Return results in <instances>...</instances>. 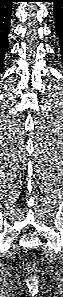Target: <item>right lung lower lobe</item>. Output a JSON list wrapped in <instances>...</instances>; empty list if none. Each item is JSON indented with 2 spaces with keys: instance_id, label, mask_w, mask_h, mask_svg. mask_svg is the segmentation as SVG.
Segmentation results:
<instances>
[{
  "instance_id": "obj_1",
  "label": "right lung lower lobe",
  "mask_w": 63,
  "mask_h": 297,
  "mask_svg": "<svg viewBox=\"0 0 63 297\" xmlns=\"http://www.w3.org/2000/svg\"><path fill=\"white\" fill-rule=\"evenodd\" d=\"M14 0H0V69L3 67L5 53L8 49V33Z\"/></svg>"
}]
</instances>
